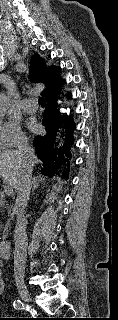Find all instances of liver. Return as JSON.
I'll use <instances>...</instances> for the list:
<instances>
[{"label":"liver","mask_w":118,"mask_h":320,"mask_svg":"<svg viewBox=\"0 0 118 320\" xmlns=\"http://www.w3.org/2000/svg\"><path fill=\"white\" fill-rule=\"evenodd\" d=\"M38 160L34 157L33 167ZM24 171V162L17 150L0 151V177L3 182L17 189Z\"/></svg>","instance_id":"obj_1"}]
</instances>
